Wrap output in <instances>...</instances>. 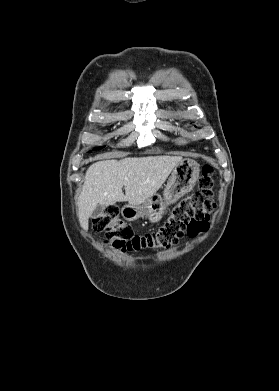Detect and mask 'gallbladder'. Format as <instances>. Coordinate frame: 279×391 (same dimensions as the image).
Masks as SVG:
<instances>
[{"label":"gallbladder","instance_id":"obj_1","mask_svg":"<svg viewBox=\"0 0 279 391\" xmlns=\"http://www.w3.org/2000/svg\"><path fill=\"white\" fill-rule=\"evenodd\" d=\"M104 210H105V206L97 205L94 211L92 212L91 217L94 219L100 217L103 214Z\"/></svg>","mask_w":279,"mask_h":391}]
</instances>
